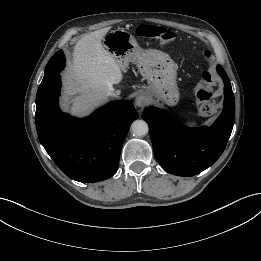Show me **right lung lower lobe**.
Here are the masks:
<instances>
[{"label": "right lung lower lobe", "instance_id": "98d812e1", "mask_svg": "<svg viewBox=\"0 0 261 261\" xmlns=\"http://www.w3.org/2000/svg\"><path fill=\"white\" fill-rule=\"evenodd\" d=\"M59 72L36 96L39 140L56 165L79 182H99L117 171L123 142L139 117L129 100L110 102L90 117L76 119L58 107Z\"/></svg>", "mask_w": 261, "mask_h": 261}]
</instances>
